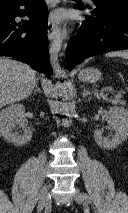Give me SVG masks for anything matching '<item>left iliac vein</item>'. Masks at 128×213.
Instances as JSON below:
<instances>
[{"label":"left iliac vein","instance_id":"1","mask_svg":"<svg viewBox=\"0 0 128 213\" xmlns=\"http://www.w3.org/2000/svg\"><path fill=\"white\" fill-rule=\"evenodd\" d=\"M74 199L79 204H83V202H84L83 195H82L81 191L77 188L74 192Z\"/></svg>","mask_w":128,"mask_h":213}]
</instances>
